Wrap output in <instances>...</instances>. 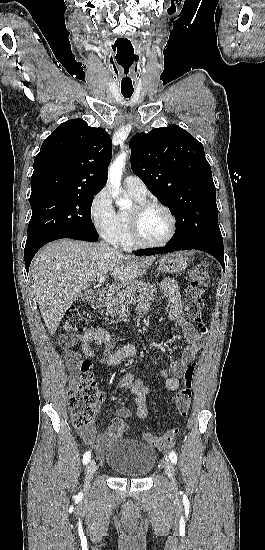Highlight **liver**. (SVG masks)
<instances>
[{
	"instance_id": "liver-1",
	"label": "liver",
	"mask_w": 265,
	"mask_h": 550,
	"mask_svg": "<svg viewBox=\"0 0 265 550\" xmlns=\"http://www.w3.org/2000/svg\"><path fill=\"white\" fill-rule=\"evenodd\" d=\"M153 260L126 256L102 242L61 239L44 246L33 259L29 274L49 333L55 334L80 290L106 274L121 283L118 289L125 287L144 274Z\"/></svg>"
}]
</instances>
